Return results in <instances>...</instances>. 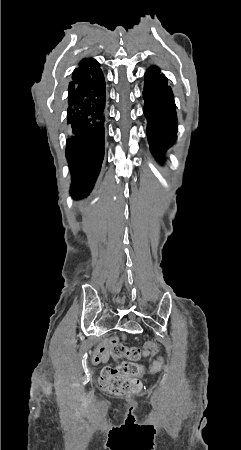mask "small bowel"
<instances>
[{"label": "small bowel", "instance_id": "small-bowel-1", "mask_svg": "<svg viewBox=\"0 0 241 450\" xmlns=\"http://www.w3.org/2000/svg\"><path fill=\"white\" fill-rule=\"evenodd\" d=\"M115 340L118 342V339L116 337H112L107 341H104L103 343H101V345L94 351L93 356H92V361L94 363H105L107 362V360L109 359V347H110V343Z\"/></svg>", "mask_w": 241, "mask_h": 450}]
</instances>
